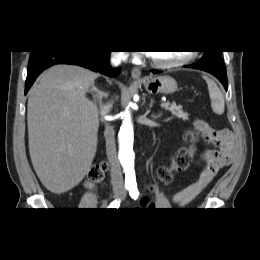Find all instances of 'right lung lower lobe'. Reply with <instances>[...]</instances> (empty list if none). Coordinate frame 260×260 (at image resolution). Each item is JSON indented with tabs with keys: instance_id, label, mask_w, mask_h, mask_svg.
<instances>
[{
	"instance_id": "98d812e1",
	"label": "right lung lower lobe",
	"mask_w": 260,
	"mask_h": 260,
	"mask_svg": "<svg viewBox=\"0 0 260 260\" xmlns=\"http://www.w3.org/2000/svg\"><path fill=\"white\" fill-rule=\"evenodd\" d=\"M110 52L104 50L31 51L25 82V94L39 74L55 64H74L95 72L100 71L108 76H115L118 74V70H109L108 60Z\"/></svg>"
}]
</instances>
